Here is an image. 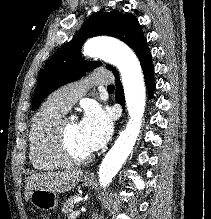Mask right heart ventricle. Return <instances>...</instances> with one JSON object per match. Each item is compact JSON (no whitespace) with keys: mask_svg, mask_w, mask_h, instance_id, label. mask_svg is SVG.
Wrapping results in <instances>:
<instances>
[{"mask_svg":"<svg viewBox=\"0 0 211 219\" xmlns=\"http://www.w3.org/2000/svg\"><path fill=\"white\" fill-rule=\"evenodd\" d=\"M67 109L48 99L34 114L29 136V158L38 171H53L67 167L54 146V131Z\"/></svg>","mask_w":211,"mask_h":219,"instance_id":"obj_1","label":"right heart ventricle"}]
</instances>
